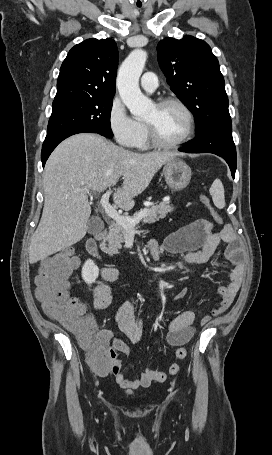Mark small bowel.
<instances>
[{"mask_svg":"<svg viewBox=\"0 0 272 455\" xmlns=\"http://www.w3.org/2000/svg\"><path fill=\"white\" fill-rule=\"evenodd\" d=\"M221 242L227 243L225 255L233 265V269L229 275L228 285L218 288L221 301L212 310L213 315H219L229 308L240 289L245 274L240 246L232 228L226 226L217 231L210 221L197 219L169 234L162 243H158L156 240L148 242V248L153 258L158 259L162 254L168 253L191 265L207 263ZM118 274L115 267H107L102 270V281L93 289L96 310H104L112 303L113 294L110 284L118 279ZM187 294L188 289L182 288L176 293L174 299H183ZM209 319L210 317H205L203 322L205 323ZM115 320L119 330L127 336L132 344L140 341L143 323L136 317L134 306L130 302L120 305ZM194 320V312L185 310L173 318L168 325L167 341L170 345L177 347L175 351L177 360L184 359L187 355L184 345L191 340L195 333ZM97 338L105 344H110L114 350L126 354L130 352L129 345L109 330L98 332ZM182 352L185 354L182 355ZM179 370L180 366L177 362L172 363L169 367L171 375L177 374ZM98 373L100 375L112 373L121 387L131 389L148 387L152 382H163L167 378L165 372L154 369L142 371L137 378H128L120 372L119 366L115 368L113 365L98 370Z\"/></svg>","mask_w":272,"mask_h":455,"instance_id":"obj_1","label":"small bowel"}]
</instances>
